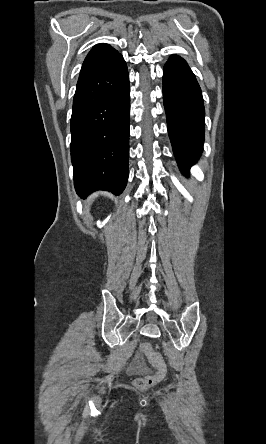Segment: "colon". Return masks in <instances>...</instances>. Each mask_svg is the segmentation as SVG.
Wrapping results in <instances>:
<instances>
[{
  "label": "colon",
  "instance_id": "5ec220e1",
  "mask_svg": "<svg viewBox=\"0 0 266 444\" xmlns=\"http://www.w3.org/2000/svg\"><path fill=\"white\" fill-rule=\"evenodd\" d=\"M141 349L154 366V372L145 377L137 378L134 383L139 389H147L156 385L165 377L167 368L160 353L150 343H144Z\"/></svg>",
  "mask_w": 266,
  "mask_h": 444
}]
</instances>
